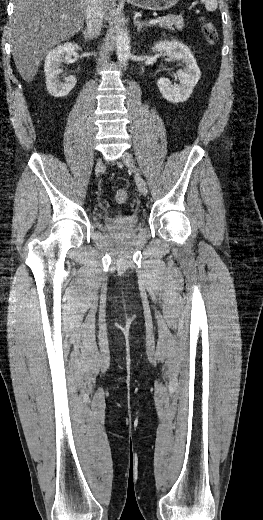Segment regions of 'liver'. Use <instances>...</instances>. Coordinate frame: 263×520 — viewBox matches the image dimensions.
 <instances>
[{
  "label": "liver",
  "instance_id": "6515ba94",
  "mask_svg": "<svg viewBox=\"0 0 263 520\" xmlns=\"http://www.w3.org/2000/svg\"><path fill=\"white\" fill-rule=\"evenodd\" d=\"M114 8L115 0H103L106 20H110ZM86 9L87 0H14L10 24L13 59L25 81L34 79L52 48L80 31Z\"/></svg>",
  "mask_w": 263,
  "mask_h": 520
}]
</instances>
